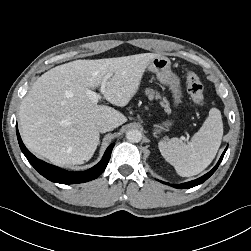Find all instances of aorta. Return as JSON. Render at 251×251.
<instances>
[{
  "label": "aorta",
  "instance_id": "obj_1",
  "mask_svg": "<svg viewBox=\"0 0 251 251\" xmlns=\"http://www.w3.org/2000/svg\"><path fill=\"white\" fill-rule=\"evenodd\" d=\"M126 138L132 143H138L142 139V133L138 129H131L126 133Z\"/></svg>",
  "mask_w": 251,
  "mask_h": 251
}]
</instances>
